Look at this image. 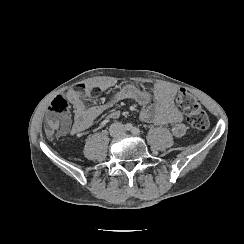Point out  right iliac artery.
Listing matches in <instances>:
<instances>
[{
    "label": "right iliac artery",
    "instance_id": "right-iliac-artery-1",
    "mask_svg": "<svg viewBox=\"0 0 244 244\" xmlns=\"http://www.w3.org/2000/svg\"><path fill=\"white\" fill-rule=\"evenodd\" d=\"M125 129L128 130V131L132 130V129H133L132 124H131V123H127V124L125 125Z\"/></svg>",
    "mask_w": 244,
    "mask_h": 244
}]
</instances>
